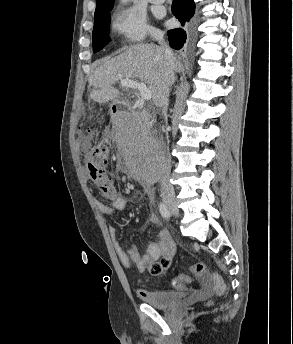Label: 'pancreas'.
<instances>
[{"mask_svg":"<svg viewBox=\"0 0 293 344\" xmlns=\"http://www.w3.org/2000/svg\"><path fill=\"white\" fill-rule=\"evenodd\" d=\"M143 131V129L141 128V129H136V130H131V138L134 140V138L137 136V135H139L141 132Z\"/></svg>","mask_w":293,"mask_h":344,"instance_id":"pancreas-1","label":"pancreas"}]
</instances>
